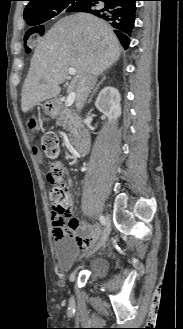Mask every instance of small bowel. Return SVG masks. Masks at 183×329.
Returning <instances> with one entry per match:
<instances>
[{
  "instance_id": "c3829d8e",
  "label": "small bowel",
  "mask_w": 183,
  "mask_h": 329,
  "mask_svg": "<svg viewBox=\"0 0 183 329\" xmlns=\"http://www.w3.org/2000/svg\"><path fill=\"white\" fill-rule=\"evenodd\" d=\"M34 152L37 153V150L34 149ZM51 167L61 170L63 177L66 174L60 162H54ZM61 181L63 182V178ZM52 223L53 236L56 241L64 237H74L80 250H87L92 245L94 238L100 233L99 228L87 227L82 220L71 217L70 214L65 223L61 222L57 216L52 215ZM76 231H81L83 234L77 235Z\"/></svg>"
}]
</instances>
